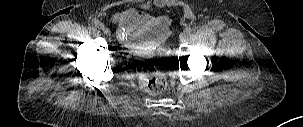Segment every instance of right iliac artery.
I'll use <instances>...</instances> for the list:
<instances>
[{"instance_id":"82829eb1","label":"right iliac artery","mask_w":303,"mask_h":127,"mask_svg":"<svg viewBox=\"0 0 303 127\" xmlns=\"http://www.w3.org/2000/svg\"><path fill=\"white\" fill-rule=\"evenodd\" d=\"M93 24L95 25V27H97L98 29H103L104 25L99 21V20H94Z\"/></svg>"}]
</instances>
